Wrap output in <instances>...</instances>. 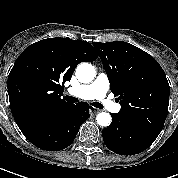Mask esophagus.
<instances>
[{"label":"esophagus","mask_w":178,"mask_h":178,"mask_svg":"<svg viewBox=\"0 0 178 178\" xmlns=\"http://www.w3.org/2000/svg\"><path fill=\"white\" fill-rule=\"evenodd\" d=\"M99 112H100L99 109H96V108H91V109H90V114H91L92 116L96 115V114L99 113Z\"/></svg>","instance_id":"34e87169"}]
</instances>
